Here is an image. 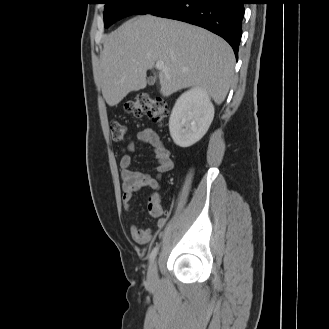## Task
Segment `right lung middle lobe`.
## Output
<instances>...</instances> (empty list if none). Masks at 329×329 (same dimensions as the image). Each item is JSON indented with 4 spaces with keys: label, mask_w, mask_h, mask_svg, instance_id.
Listing matches in <instances>:
<instances>
[{
    "label": "right lung middle lobe",
    "mask_w": 329,
    "mask_h": 329,
    "mask_svg": "<svg viewBox=\"0 0 329 329\" xmlns=\"http://www.w3.org/2000/svg\"><path fill=\"white\" fill-rule=\"evenodd\" d=\"M172 0H104V24L109 27L119 19L133 14H150Z\"/></svg>",
    "instance_id": "right-lung-middle-lobe-1"
}]
</instances>
